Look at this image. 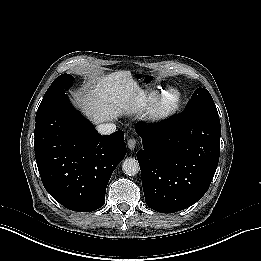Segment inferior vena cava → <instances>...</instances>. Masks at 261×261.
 Here are the masks:
<instances>
[{
  "instance_id": "1",
  "label": "inferior vena cava",
  "mask_w": 261,
  "mask_h": 261,
  "mask_svg": "<svg viewBox=\"0 0 261 261\" xmlns=\"http://www.w3.org/2000/svg\"><path fill=\"white\" fill-rule=\"evenodd\" d=\"M97 131L101 135H110L116 131V125L113 123H103L97 126Z\"/></svg>"
}]
</instances>
